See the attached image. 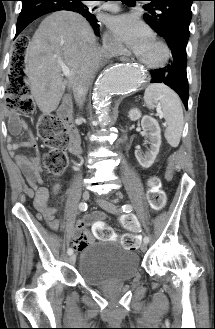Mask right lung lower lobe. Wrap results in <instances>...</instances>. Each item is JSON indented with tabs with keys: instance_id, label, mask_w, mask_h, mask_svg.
I'll return each instance as SVG.
<instances>
[{
	"instance_id": "98d812e1",
	"label": "right lung lower lobe",
	"mask_w": 215,
	"mask_h": 329,
	"mask_svg": "<svg viewBox=\"0 0 215 329\" xmlns=\"http://www.w3.org/2000/svg\"><path fill=\"white\" fill-rule=\"evenodd\" d=\"M83 0H22V10L18 17L16 36L35 19L60 10L73 11L84 16L93 30L99 35V24L91 10L83 4ZM18 69L22 67L19 61L14 63Z\"/></svg>"
}]
</instances>
